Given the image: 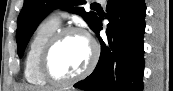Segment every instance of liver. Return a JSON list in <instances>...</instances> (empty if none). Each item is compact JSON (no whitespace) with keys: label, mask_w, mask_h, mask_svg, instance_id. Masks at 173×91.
Returning <instances> with one entry per match:
<instances>
[{"label":"liver","mask_w":173,"mask_h":91,"mask_svg":"<svg viewBox=\"0 0 173 91\" xmlns=\"http://www.w3.org/2000/svg\"><path fill=\"white\" fill-rule=\"evenodd\" d=\"M14 91H37V90L33 86H25V87H21V88H15Z\"/></svg>","instance_id":"1"}]
</instances>
